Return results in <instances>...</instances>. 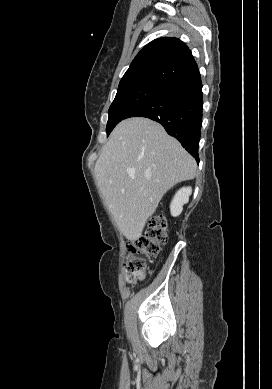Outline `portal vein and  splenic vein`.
Masks as SVG:
<instances>
[{"label": "portal vein and splenic vein", "instance_id": "portal-vein-and-splenic-vein-1", "mask_svg": "<svg viewBox=\"0 0 272 389\" xmlns=\"http://www.w3.org/2000/svg\"><path fill=\"white\" fill-rule=\"evenodd\" d=\"M129 175H130V176H133V173H132V172H129Z\"/></svg>", "mask_w": 272, "mask_h": 389}]
</instances>
